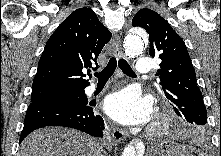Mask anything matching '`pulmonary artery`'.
<instances>
[{
  "mask_svg": "<svg viewBox=\"0 0 221 156\" xmlns=\"http://www.w3.org/2000/svg\"><path fill=\"white\" fill-rule=\"evenodd\" d=\"M136 71L139 75H148L152 71V64L148 58H140L136 64ZM96 88L95 85L90 86L89 90L92 92Z\"/></svg>",
  "mask_w": 221,
  "mask_h": 156,
  "instance_id": "pulmonary-artery-1",
  "label": "pulmonary artery"
}]
</instances>
